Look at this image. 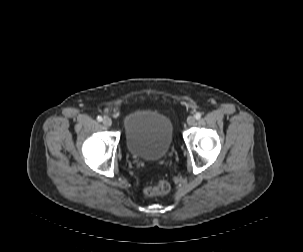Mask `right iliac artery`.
<instances>
[{"label": "right iliac artery", "mask_w": 303, "mask_h": 252, "mask_svg": "<svg viewBox=\"0 0 303 252\" xmlns=\"http://www.w3.org/2000/svg\"><path fill=\"white\" fill-rule=\"evenodd\" d=\"M97 120H98L99 122H101L103 119H102L101 116H97Z\"/></svg>", "instance_id": "82829eb1"}]
</instances>
